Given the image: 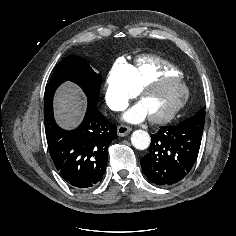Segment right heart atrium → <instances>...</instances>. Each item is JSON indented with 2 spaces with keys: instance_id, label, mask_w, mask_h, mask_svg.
<instances>
[{
  "instance_id": "1",
  "label": "right heart atrium",
  "mask_w": 236,
  "mask_h": 236,
  "mask_svg": "<svg viewBox=\"0 0 236 236\" xmlns=\"http://www.w3.org/2000/svg\"><path fill=\"white\" fill-rule=\"evenodd\" d=\"M130 65L119 60L107 73L104 87L106 103L113 110H121L131 99L135 91L129 83Z\"/></svg>"
}]
</instances>
